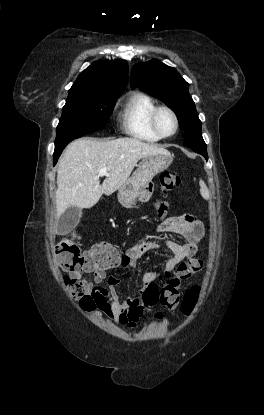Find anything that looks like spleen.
<instances>
[{
    "label": "spleen",
    "instance_id": "spleen-1",
    "mask_svg": "<svg viewBox=\"0 0 264 415\" xmlns=\"http://www.w3.org/2000/svg\"><path fill=\"white\" fill-rule=\"evenodd\" d=\"M199 185H200V194H201V196L204 199L208 200L210 198V193H209V190H208L205 182L200 179Z\"/></svg>",
    "mask_w": 264,
    "mask_h": 415
}]
</instances>
